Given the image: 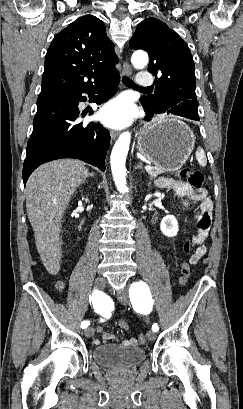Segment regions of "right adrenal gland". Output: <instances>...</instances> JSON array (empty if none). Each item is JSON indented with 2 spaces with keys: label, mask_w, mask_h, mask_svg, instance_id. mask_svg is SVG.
I'll return each mask as SVG.
<instances>
[{
  "label": "right adrenal gland",
  "mask_w": 243,
  "mask_h": 409,
  "mask_svg": "<svg viewBox=\"0 0 243 409\" xmlns=\"http://www.w3.org/2000/svg\"><path fill=\"white\" fill-rule=\"evenodd\" d=\"M87 177H94V173H88Z\"/></svg>",
  "instance_id": "right-adrenal-gland-1"
}]
</instances>
